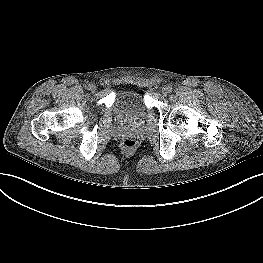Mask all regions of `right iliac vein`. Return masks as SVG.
I'll list each match as a JSON object with an SVG mask.
<instances>
[{"mask_svg": "<svg viewBox=\"0 0 263 263\" xmlns=\"http://www.w3.org/2000/svg\"><path fill=\"white\" fill-rule=\"evenodd\" d=\"M89 90L94 93L97 89L95 85H91Z\"/></svg>", "mask_w": 263, "mask_h": 263, "instance_id": "1", "label": "right iliac vein"}]
</instances>
